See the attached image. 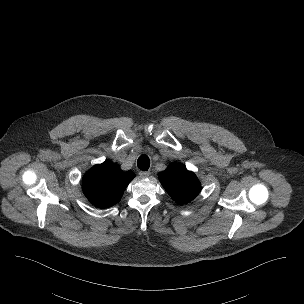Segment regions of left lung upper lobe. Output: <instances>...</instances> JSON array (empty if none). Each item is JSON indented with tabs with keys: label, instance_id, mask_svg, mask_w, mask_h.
I'll return each instance as SVG.
<instances>
[{
	"label": "left lung upper lobe",
	"instance_id": "obj_1",
	"mask_svg": "<svg viewBox=\"0 0 304 304\" xmlns=\"http://www.w3.org/2000/svg\"><path fill=\"white\" fill-rule=\"evenodd\" d=\"M158 176L165 190L179 204L193 200L201 190V184L196 175L180 164L170 165Z\"/></svg>",
	"mask_w": 304,
	"mask_h": 304
}]
</instances>
